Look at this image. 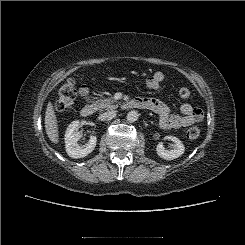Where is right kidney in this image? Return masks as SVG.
<instances>
[{
    "label": "right kidney",
    "mask_w": 245,
    "mask_h": 245,
    "mask_svg": "<svg viewBox=\"0 0 245 245\" xmlns=\"http://www.w3.org/2000/svg\"><path fill=\"white\" fill-rule=\"evenodd\" d=\"M80 122L78 120L73 121L67 128L65 133V146L67 154L71 158H84L90 154L96 147L97 137L91 136L88 143L80 145L78 143L81 138L79 132Z\"/></svg>",
    "instance_id": "right-kidney-1"
}]
</instances>
